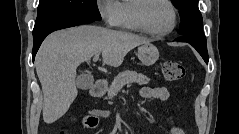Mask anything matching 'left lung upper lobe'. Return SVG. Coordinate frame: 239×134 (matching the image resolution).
Segmentation results:
<instances>
[{
  "instance_id": "left-lung-upper-lobe-1",
  "label": "left lung upper lobe",
  "mask_w": 239,
  "mask_h": 134,
  "mask_svg": "<svg viewBox=\"0 0 239 134\" xmlns=\"http://www.w3.org/2000/svg\"><path fill=\"white\" fill-rule=\"evenodd\" d=\"M199 0H172L179 9L180 30L179 34L205 37L202 31V15L198 8Z\"/></svg>"
}]
</instances>
